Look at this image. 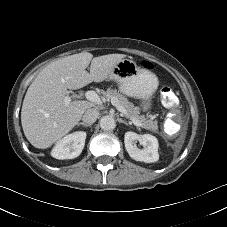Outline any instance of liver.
Here are the masks:
<instances>
[{"label":"liver","instance_id":"1","mask_svg":"<svg viewBox=\"0 0 227 227\" xmlns=\"http://www.w3.org/2000/svg\"><path fill=\"white\" fill-rule=\"evenodd\" d=\"M124 54L94 57L81 52L58 59L41 70L29 86L21 109V123L27 140L46 149L66 135L94 103L75 100L64 104L67 89H79L109 78ZM91 63V64H90ZM90 64V72L86 68Z\"/></svg>","mask_w":227,"mask_h":227}]
</instances>
